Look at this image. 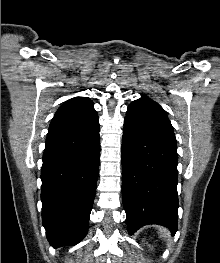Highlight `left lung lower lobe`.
<instances>
[{"label":"left lung lower lobe","mask_w":220,"mask_h":263,"mask_svg":"<svg viewBox=\"0 0 220 263\" xmlns=\"http://www.w3.org/2000/svg\"><path fill=\"white\" fill-rule=\"evenodd\" d=\"M177 158L176 141L124 120L122 198L129 234L147 224L177 231Z\"/></svg>","instance_id":"1"}]
</instances>
